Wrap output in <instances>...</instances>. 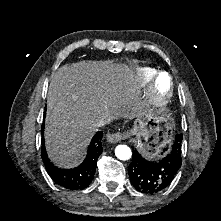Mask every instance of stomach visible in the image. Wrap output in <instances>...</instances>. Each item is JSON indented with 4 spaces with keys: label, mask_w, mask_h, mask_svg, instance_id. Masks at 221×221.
Here are the masks:
<instances>
[{
    "label": "stomach",
    "mask_w": 221,
    "mask_h": 221,
    "mask_svg": "<svg viewBox=\"0 0 221 221\" xmlns=\"http://www.w3.org/2000/svg\"><path fill=\"white\" fill-rule=\"evenodd\" d=\"M132 135L139 151L147 158H154L168 149L172 142L173 129L169 116L160 115L145 120L138 117Z\"/></svg>",
    "instance_id": "stomach-1"
}]
</instances>
